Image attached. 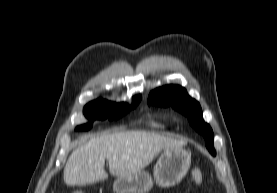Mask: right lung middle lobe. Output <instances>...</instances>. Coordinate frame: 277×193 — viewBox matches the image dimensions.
I'll list each match as a JSON object with an SVG mask.
<instances>
[{
	"mask_svg": "<svg viewBox=\"0 0 277 193\" xmlns=\"http://www.w3.org/2000/svg\"><path fill=\"white\" fill-rule=\"evenodd\" d=\"M141 96H134L132 101V106L126 103H113L103 99H97L88 103L83 110L85 117L90 120L95 119H118L122 115H125L131 108L136 107L139 103ZM92 127V123H87L84 125L77 126L75 130L77 131H86Z\"/></svg>",
	"mask_w": 277,
	"mask_h": 193,
	"instance_id": "dd1d6c3e",
	"label": "right lung middle lobe"
}]
</instances>
